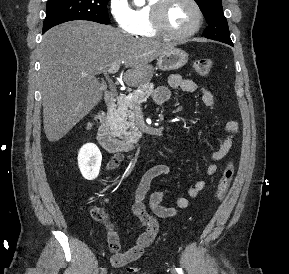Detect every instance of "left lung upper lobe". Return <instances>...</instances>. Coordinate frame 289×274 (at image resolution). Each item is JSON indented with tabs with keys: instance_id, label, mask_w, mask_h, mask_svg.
<instances>
[{
	"instance_id": "obj_1",
	"label": "left lung upper lobe",
	"mask_w": 289,
	"mask_h": 274,
	"mask_svg": "<svg viewBox=\"0 0 289 274\" xmlns=\"http://www.w3.org/2000/svg\"><path fill=\"white\" fill-rule=\"evenodd\" d=\"M203 13L208 27L204 30L203 36L220 42H232L227 20L223 14L221 0H195Z\"/></svg>"
}]
</instances>
